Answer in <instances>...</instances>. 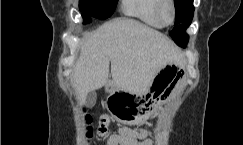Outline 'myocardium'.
Masks as SVG:
<instances>
[{"label": "myocardium", "mask_w": 243, "mask_h": 145, "mask_svg": "<svg viewBox=\"0 0 243 145\" xmlns=\"http://www.w3.org/2000/svg\"><path fill=\"white\" fill-rule=\"evenodd\" d=\"M167 8L171 12L170 20H168L165 15V11ZM156 14H157L159 20L164 25L173 24L176 19V7H175L174 0H158L157 5H156Z\"/></svg>", "instance_id": "obj_1"}]
</instances>
